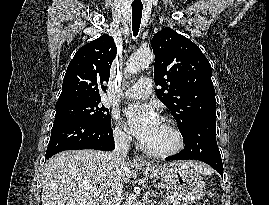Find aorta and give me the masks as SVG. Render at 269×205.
<instances>
[{"instance_id":"762f6f07","label":"aorta","mask_w":269,"mask_h":205,"mask_svg":"<svg viewBox=\"0 0 269 205\" xmlns=\"http://www.w3.org/2000/svg\"><path fill=\"white\" fill-rule=\"evenodd\" d=\"M153 60L154 54L150 50H139L130 56L126 71L128 74H136L145 66L151 64ZM138 192H140V189L135 190V192L127 198L125 205H137Z\"/></svg>"}]
</instances>
